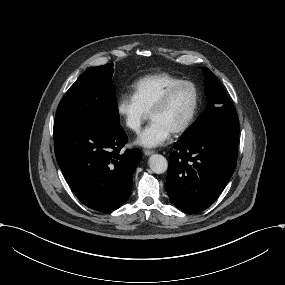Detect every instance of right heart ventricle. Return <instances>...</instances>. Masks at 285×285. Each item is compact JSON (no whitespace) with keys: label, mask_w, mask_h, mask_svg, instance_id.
Instances as JSON below:
<instances>
[{"label":"right heart ventricle","mask_w":285,"mask_h":285,"mask_svg":"<svg viewBox=\"0 0 285 285\" xmlns=\"http://www.w3.org/2000/svg\"><path fill=\"white\" fill-rule=\"evenodd\" d=\"M180 80L166 72L150 74L135 83L134 92L143 107L150 112L163 93Z\"/></svg>","instance_id":"e07e8e85"}]
</instances>
